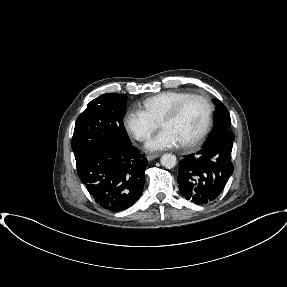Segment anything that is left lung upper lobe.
<instances>
[{
  "instance_id": "1",
  "label": "left lung upper lobe",
  "mask_w": 287,
  "mask_h": 287,
  "mask_svg": "<svg viewBox=\"0 0 287 287\" xmlns=\"http://www.w3.org/2000/svg\"><path fill=\"white\" fill-rule=\"evenodd\" d=\"M213 103L216 106L213 116V130L208 136L206 142H209L221 133L230 130L231 125L230 114L226 107L218 99H213Z\"/></svg>"
}]
</instances>
